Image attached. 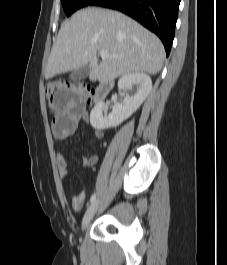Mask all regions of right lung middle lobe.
<instances>
[{
	"label": "right lung middle lobe",
	"mask_w": 227,
	"mask_h": 265,
	"mask_svg": "<svg viewBox=\"0 0 227 265\" xmlns=\"http://www.w3.org/2000/svg\"><path fill=\"white\" fill-rule=\"evenodd\" d=\"M93 0H61L63 8L67 16L76 10L89 5Z\"/></svg>",
	"instance_id": "dd1d6c3e"
}]
</instances>
